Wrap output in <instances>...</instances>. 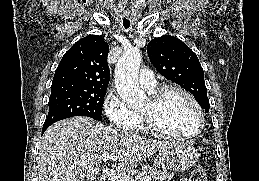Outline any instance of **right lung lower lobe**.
Masks as SVG:
<instances>
[{
  "label": "right lung lower lobe",
  "instance_id": "1",
  "mask_svg": "<svg viewBox=\"0 0 259 181\" xmlns=\"http://www.w3.org/2000/svg\"><path fill=\"white\" fill-rule=\"evenodd\" d=\"M47 128H48V127H43L42 133H44Z\"/></svg>",
  "mask_w": 259,
  "mask_h": 181
}]
</instances>
